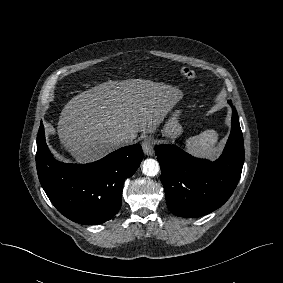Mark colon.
I'll list each match as a JSON object with an SVG mask.
<instances>
[{"instance_id":"5ec220e1","label":"colon","mask_w":283,"mask_h":283,"mask_svg":"<svg viewBox=\"0 0 283 283\" xmlns=\"http://www.w3.org/2000/svg\"><path fill=\"white\" fill-rule=\"evenodd\" d=\"M180 73L184 78L188 80H194L196 78L195 72L192 69L187 68V67H182L180 69Z\"/></svg>"}]
</instances>
